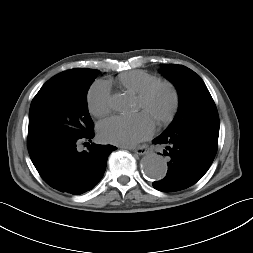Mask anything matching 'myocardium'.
<instances>
[{
  "label": "myocardium",
  "instance_id": "myocardium-1",
  "mask_svg": "<svg viewBox=\"0 0 253 253\" xmlns=\"http://www.w3.org/2000/svg\"><path fill=\"white\" fill-rule=\"evenodd\" d=\"M160 89H166L171 97V104L168 112L163 117L156 120L159 125H166L174 119L180 106V93L174 83L167 80H159L140 92L138 94V99L146 104Z\"/></svg>",
  "mask_w": 253,
  "mask_h": 253
}]
</instances>
